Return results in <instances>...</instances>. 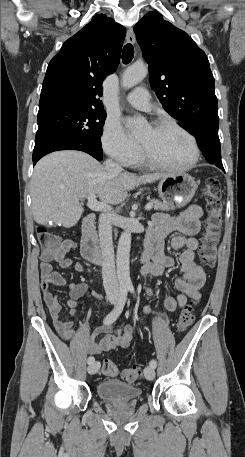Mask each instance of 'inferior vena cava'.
<instances>
[{
  "mask_svg": "<svg viewBox=\"0 0 245 457\" xmlns=\"http://www.w3.org/2000/svg\"><path fill=\"white\" fill-rule=\"evenodd\" d=\"M108 174H118L123 168L116 164L112 158L104 162ZM112 214L102 212L99 216V241L103 257L102 279L108 297H118V281L116 277L114 247L112 241Z\"/></svg>",
  "mask_w": 245,
  "mask_h": 457,
  "instance_id": "1",
  "label": "inferior vena cava"
}]
</instances>
